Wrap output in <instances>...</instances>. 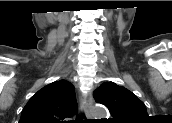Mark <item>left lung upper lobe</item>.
I'll use <instances>...</instances> for the list:
<instances>
[{
    "label": "left lung upper lobe",
    "instance_id": "obj_1",
    "mask_svg": "<svg viewBox=\"0 0 172 123\" xmlns=\"http://www.w3.org/2000/svg\"><path fill=\"white\" fill-rule=\"evenodd\" d=\"M93 95L109 109L112 123H140L148 118L145 104L130 90L114 82H104Z\"/></svg>",
    "mask_w": 172,
    "mask_h": 123
}]
</instances>
